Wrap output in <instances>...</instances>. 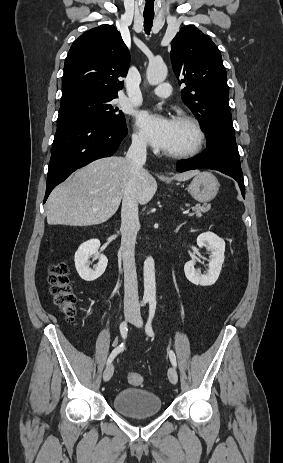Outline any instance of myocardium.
Returning <instances> with one entry per match:
<instances>
[{
    "mask_svg": "<svg viewBox=\"0 0 283 463\" xmlns=\"http://www.w3.org/2000/svg\"><path fill=\"white\" fill-rule=\"evenodd\" d=\"M175 121H179V122H182L188 125L192 129L195 135V141L193 145L186 150L177 151V152H167L166 151L164 152V154L173 159H187V158L194 157L202 150L204 143H205V133H204L201 123L199 122L197 118H195L192 115H188V114H180L176 116Z\"/></svg>",
    "mask_w": 283,
    "mask_h": 463,
    "instance_id": "1",
    "label": "myocardium"
}]
</instances>
